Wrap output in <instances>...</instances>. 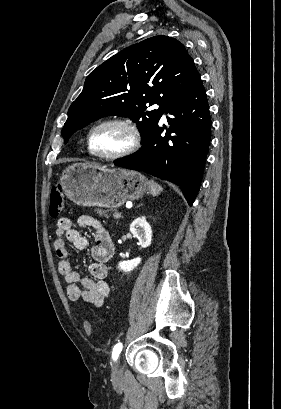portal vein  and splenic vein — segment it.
<instances>
[{
	"label": "portal vein and splenic vein",
	"instance_id": "portal-vein-and-splenic-vein-1",
	"mask_svg": "<svg viewBox=\"0 0 281 409\" xmlns=\"http://www.w3.org/2000/svg\"><path fill=\"white\" fill-rule=\"evenodd\" d=\"M112 216L113 217H115V219H119V217H122L123 216V213L122 212H113L112 213Z\"/></svg>",
	"mask_w": 281,
	"mask_h": 409
}]
</instances>
